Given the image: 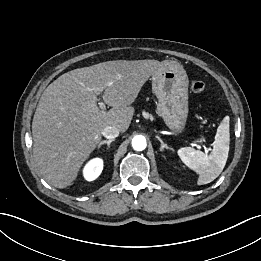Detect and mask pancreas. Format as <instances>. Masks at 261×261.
<instances>
[{
	"mask_svg": "<svg viewBox=\"0 0 261 261\" xmlns=\"http://www.w3.org/2000/svg\"><path fill=\"white\" fill-rule=\"evenodd\" d=\"M143 115H144L145 117H147V118H148V117H151L148 113H145V112L143 113Z\"/></svg>",
	"mask_w": 261,
	"mask_h": 261,
	"instance_id": "1",
	"label": "pancreas"
}]
</instances>
